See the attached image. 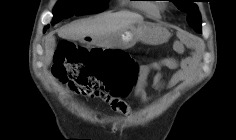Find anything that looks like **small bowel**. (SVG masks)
Returning a JSON list of instances; mask_svg holds the SVG:
<instances>
[{
    "mask_svg": "<svg viewBox=\"0 0 236 140\" xmlns=\"http://www.w3.org/2000/svg\"><path fill=\"white\" fill-rule=\"evenodd\" d=\"M174 47L177 53L182 54L184 52V45L182 42H177ZM165 69L174 70V73L169 78H165ZM196 69V61L191 57H184L182 59L168 57L143 66L141 72L144 75L149 73L154 74L152 79V85L154 88L168 89L179 86L183 82L191 79L195 75ZM139 99L144 103L149 100V97L141 91L139 94ZM110 105L116 112L125 115H129L131 113V107L122 99L114 103H110Z\"/></svg>",
    "mask_w": 236,
    "mask_h": 140,
    "instance_id": "1",
    "label": "small bowel"
}]
</instances>
